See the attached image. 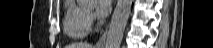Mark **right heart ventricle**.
Segmentation results:
<instances>
[{
	"label": "right heart ventricle",
	"instance_id": "obj_1",
	"mask_svg": "<svg viewBox=\"0 0 213 48\" xmlns=\"http://www.w3.org/2000/svg\"><path fill=\"white\" fill-rule=\"evenodd\" d=\"M63 29L72 39H81L88 35L90 24L86 11L73 0H69L65 7Z\"/></svg>",
	"mask_w": 213,
	"mask_h": 48
}]
</instances>
